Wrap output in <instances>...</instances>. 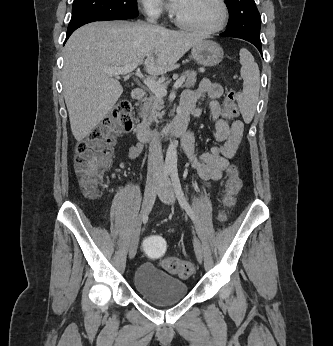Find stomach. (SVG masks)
<instances>
[{"label":"stomach","instance_id":"stomach-1","mask_svg":"<svg viewBox=\"0 0 333 346\" xmlns=\"http://www.w3.org/2000/svg\"><path fill=\"white\" fill-rule=\"evenodd\" d=\"M191 56L199 65L212 67L221 62L223 50L214 41L202 40L192 47Z\"/></svg>","mask_w":333,"mask_h":346}]
</instances>
